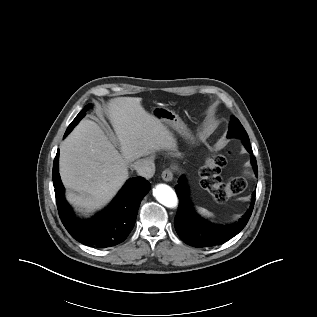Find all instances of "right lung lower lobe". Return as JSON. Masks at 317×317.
Listing matches in <instances>:
<instances>
[{"label":"right lung lower lobe","instance_id":"98d812e1","mask_svg":"<svg viewBox=\"0 0 317 317\" xmlns=\"http://www.w3.org/2000/svg\"><path fill=\"white\" fill-rule=\"evenodd\" d=\"M58 163L59 150L53 163L52 179L59 216L70 235L78 242L96 248L123 242L134 227L140 202L149 191L150 183L141 177L129 179L105 210L91 219H80L65 200Z\"/></svg>","mask_w":317,"mask_h":317}]
</instances>
